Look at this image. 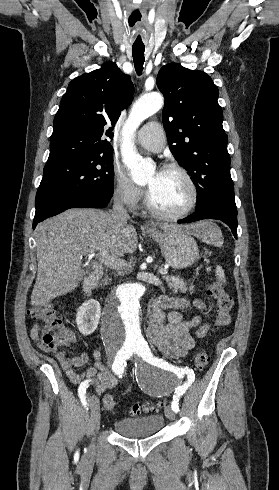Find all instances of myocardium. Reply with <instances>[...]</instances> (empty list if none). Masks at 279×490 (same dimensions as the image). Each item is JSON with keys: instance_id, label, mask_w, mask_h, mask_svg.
Wrapping results in <instances>:
<instances>
[{"instance_id": "obj_1", "label": "myocardium", "mask_w": 279, "mask_h": 490, "mask_svg": "<svg viewBox=\"0 0 279 490\" xmlns=\"http://www.w3.org/2000/svg\"><path fill=\"white\" fill-rule=\"evenodd\" d=\"M163 170L166 171H173L181 175L184 180L186 181L189 191H190V198L188 202L183 206L182 209L176 212H166L164 210L159 209L152 201L150 197V193L148 192L147 196V208L150 211V213L160 219L163 220H177L180 219L187 214H189L197 205L198 199H199V194H198V189L197 186L190 175V173L185 169L183 166L177 164V163H169L166 164L163 167Z\"/></svg>"}]
</instances>
